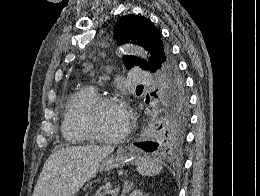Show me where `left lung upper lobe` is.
<instances>
[{
  "label": "left lung upper lobe",
  "mask_w": 260,
  "mask_h": 196,
  "mask_svg": "<svg viewBox=\"0 0 260 196\" xmlns=\"http://www.w3.org/2000/svg\"><path fill=\"white\" fill-rule=\"evenodd\" d=\"M115 39L119 44L141 45L151 54L149 62L135 56H124L127 69L139 66L155 72L160 69L164 82L156 121L144 131L146 139L155 142L157 150L177 152L185 141L189 120L188 95L184 80L168 46L162 41L159 30L145 17L125 15L114 26Z\"/></svg>",
  "instance_id": "5c2ea615"
}]
</instances>
